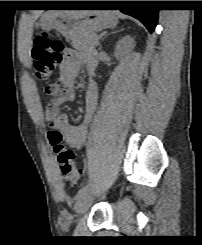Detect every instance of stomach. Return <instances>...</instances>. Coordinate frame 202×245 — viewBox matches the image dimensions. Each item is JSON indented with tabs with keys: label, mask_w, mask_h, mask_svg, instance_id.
Segmentation results:
<instances>
[{
	"label": "stomach",
	"mask_w": 202,
	"mask_h": 245,
	"mask_svg": "<svg viewBox=\"0 0 202 245\" xmlns=\"http://www.w3.org/2000/svg\"><path fill=\"white\" fill-rule=\"evenodd\" d=\"M117 23L115 14L107 10L47 11L40 19V27L44 32L55 29L66 38H75L83 32L114 28Z\"/></svg>",
	"instance_id": "1"
}]
</instances>
